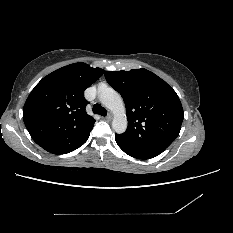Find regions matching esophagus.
Segmentation results:
<instances>
[{
  "instance_id": "1",
  "label": "esophagus",
  "mask_w": 233,
  "mask_h": 233,
  "mask_svg": "<svg viewBox=\"0 0 233 233\" xmlns=\"http://www.w3.org/2000/svg\"><path fill=\"white\" fill-rule=\"evenodd\" d=\"M112 117H113V115L110 113L105 117V119L110 121L112 119Z\"/></svg>"
}]
</instances>
